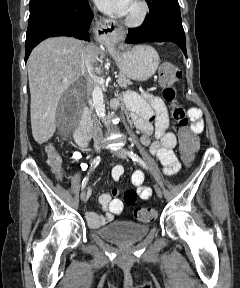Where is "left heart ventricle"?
Here are the masks:
<instances>
[{
  "mask_svg": "<svg viewBox=\"0 0 240 288\" xmlns=\"http://www.w3.org/2000/svg\"><path fill=\"white\" fill-rule=\"evenodd\" d=\"M138 11H139V8H138L137 4L134 1H132L127 15H131V16L136 15L138 13Z\"/></svg>",
  "mask_w": 240,
  "mask_h": 288,
  "instance_id": "obj_1",
  "label": "left heart ventricle"
}]
</instances>
